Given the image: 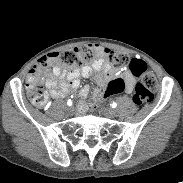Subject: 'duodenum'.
<instances>
[{"instance_id":"obj_1","label":"duodenum","mask_w":183,"mask_h":183,"mask_svg":"<svg viewBox=\"0 0 183 183\" xmlns=\"http://www.w3.org/2000/svg\"><path fill=\"white\" fill-rule=\"evenodd\" d=\"M100 95H101V90L100 89H95L94 90V95H93V100L94 101H99L100 100ZM80 108L81 109H86L87 108V103L86 102H81L80 103Z\"/></svg>"}]
</instances>
